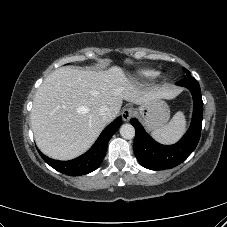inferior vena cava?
<instances>
[{
  "mask_svg": "<svg viewBox=\"0 0 227 227\" xmlns=\"http://www.w3.org/2000/svg\"><path fill=\"white\" fill-rule=\"evenodd\" d=\"M99 114L101 115V117L105 120L108 121L109 119L112 118L113 113L112 111L109 109L108 106L103 105L99 108Z\"/></svg>",
  "mask_w": 227,
  "mask_h": 227,
  "instance_id": "obj_1",
  "label": "inferior vena cava"
}]
</instances>
